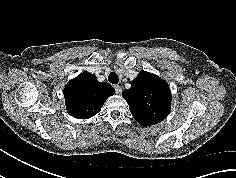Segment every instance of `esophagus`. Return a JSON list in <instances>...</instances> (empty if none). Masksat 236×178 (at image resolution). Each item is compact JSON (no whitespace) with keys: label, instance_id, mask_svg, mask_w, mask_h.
<instances>
[{"label":"esophagus","instance_id":"1","mask_svg":"<svg viewBox=\"0 0 236 178\" xmlns=\"http://www.w3.org/2000/svg\"><path fill=\"white\" fill-rule=\"evenodd\" d=\"M114 88H115V91H116L117 94H120L122 92V87L121 86L116 85Z\"/></svg>","mask_w":236,"mask_h":178}]
</instances>
